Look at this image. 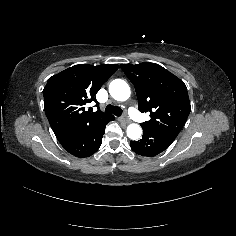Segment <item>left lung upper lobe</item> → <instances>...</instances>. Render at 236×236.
Listing matches in <instances>:
<instances>
[{
  "label": "left lung upper lobe",
  "mask_w": 236,
  "mask_h": 236,
  "mask_svg": "<svg viewBox=\"0 0 236 236\" xmlns=\"http://www.w3.org/2000/svg\"><path fill=\"white\" fill-rule=\"evenodd\" d=\"M134 84L138 107L150 112L141 126L179 134L191 110L186 85L162 66L154 63L121 64Z\"/></svg>",
  "instance_id": "left-lung-upper-lobe-1"
}]
</instances>
